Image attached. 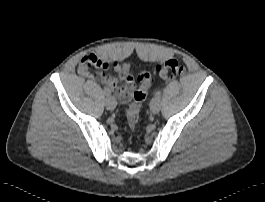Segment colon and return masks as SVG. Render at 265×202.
<instances>
[{
	"label": "colon",
	"mask_w": 265,
	"mask_h": 202,
	"mask_svg": "<svg viewBox=\"0 0 265 202\" xmlns=\"http://www.w3.org/2000/svg\"><path fill=\"white\" fill-rule=\"evenodd\" d=\"M155 71L159 72L161 79L171 81L182 76L185 68L181 62L169 60L163 65L156 66ZM154 80V73L150 70H144L138 75L139 88L133 93V101L128 109L129 126L132 130L138 126L140 109Z\"/></svg>",
	"instance_id": "5ec220e1"
}]
</instances>
